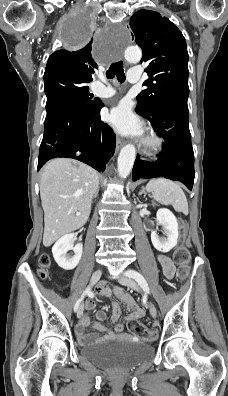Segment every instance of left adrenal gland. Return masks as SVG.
Returning a JSON list of instances; mask_svg holds the SVG:
<instances>
[{
    "label": "left adrenal gland",
    "mask_w": 228,
    "mask_h": 396,
    "mask_svg": "<svg viewBox=\"0 0 228 396\" xmlns=\"http://www.w3.org/2000/svg\"><path fill=\"white\" fill-rule=\"evenodd\" d=\"M142 194H144V196H146V192H145V188L144 187H142V190L139 192V195H142Z\"/></svg>",
    "instance_id": "left-adrenal-gland-1"
}]
</instances>
